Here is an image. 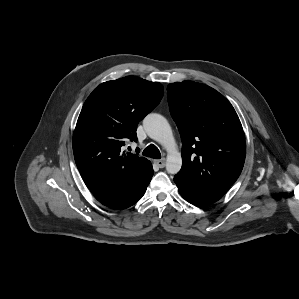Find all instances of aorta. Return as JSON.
Masks as SVG:
<instances>
[{
    "instance_id": "obj_1",
    "label": "aorta",
    "mask_w": 299,
    "mask_h": 299,
    "mask_svg": "<svg viewBox=\"0 0 299 299\" xmlns=\"http://www.w3.org/2000/svg\"><path fill=\"white\" fill-rule=\"evenodd\" d=\"M143 126L148 136L160 143L167 151L166 170L170 174L179 172L182 166L181 153L177 149L172 129L162 115L148 114L143 120Z\"/></svg>"
}]
</instances>
